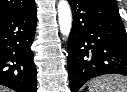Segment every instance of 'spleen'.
<instances>
[{"instance_id": "1", "label": "spleen", "mask_w": 127, "mask_h": 92, "mask_svg": "<svg viewBox=\"0 0 127 92\" xmlns=\"http://www.w3.org/2000/svg\"><path fill=\"white\" fill-rule=\"evenodd\" d=\"M88 92H127V78L121 75L97 77L90 82Z\"/></svg>"}]
</instances>
